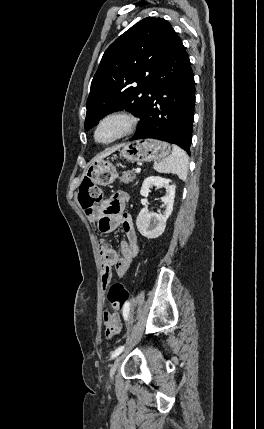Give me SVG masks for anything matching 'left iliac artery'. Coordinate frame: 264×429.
Masks as SVG:
<instances>
[{"label":"left iliac artery","instance_id":"44dca946","mask_svg":"<svg viewBox=\"0 0 264 429\" xmlns=\"http://www.w3.org/2000/svg\"><path fill=\"white\" fill-rule=\"evenodd\" d=\"M130 307V303H126L125 304V308L123 311V317L124 320L127 321L129 319V308ZM124 350V346H120L118 347L115 351H113L111 353V359H114L116 356H118L122 351Z\"/></svg>","mask_w":264,"mask_h":429}]
</instances>
